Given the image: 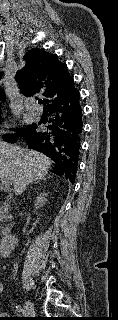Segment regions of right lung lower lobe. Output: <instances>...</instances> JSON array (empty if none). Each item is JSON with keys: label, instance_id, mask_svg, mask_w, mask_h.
Instances as JSON below:
<instances>
[{"label": "right lung lower lobe", "instance_id": "98d812e1", "mask_svg": "<svg viewBox=\"0 0 118 320\" xmlns=\"http://www.w3.org/2000/svg\"><path fill=\"white\" fill-rule=\"evenodd\" d=\"M51 116L45 130L32 131L26 141L32 149L44 153L56 165L53 173L75 181L82 136L80 94L72 90L54 98L48 104Z\"/></svg>", "mask_w": 118, "mask_h": 320}]
</instances>
